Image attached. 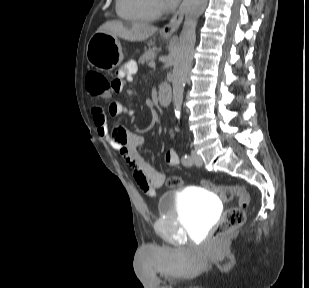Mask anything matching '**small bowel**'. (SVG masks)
Masks as SVG:
<instances>
[{
	"instance_id": "c3829d8e",
	"label": "small bowel",
	"mask_w": 309,
	"mask_h": 288,
	"mask_svg": "<svg viewBox=\"0 0 309 288\" xmlns=\"http://www.w3.org/2000/svg\"><path fill=\"white\" fill-rule=\"evenodd\" d=\"M125 76L126 72L121 71L114 80V82L120 84L121 89L126 85ZM128 94H131L130 90H128ZM108 111L111 116L132 114V111L120 102H112L109 105ZM91 113L98 134L108 141L111 147L124 157L125 162L132 169L133 177L140 188L148 195H154L155 191L162 187L164 175L155 170L152 165L140 155L138 147L143 144V138L121 127L111 129L106 112L99 106L92 107ZM164 160L169 167L179 164V157L174 147H169L167 149Z\"/></svg>"
}]
</instances>
